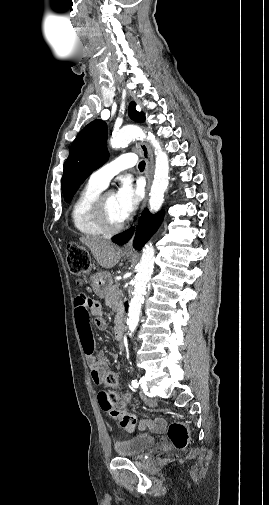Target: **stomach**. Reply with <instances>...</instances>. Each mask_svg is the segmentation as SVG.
I'll use <instances>...</instances> for the list:
<instances>
[{"instance_id": "stomach-1", "label": "stomach", "mask_w": 269, "mask_h": 505, "mask_svg": "<svg viewBox=\"0 0 269 505\" xmlns=\"http://www.w3.org/2000/svg\"><path fill=\"white\" fill-rule=\"evenodd\" d=\"M90 282L92 289L99 297H104L113 284L111 274L106 271L93 274Z\"/></svg>"}]
</instances>
